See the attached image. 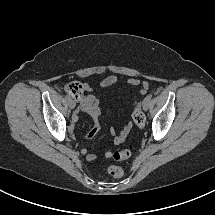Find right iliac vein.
<instances>
[{"label":"right iliac vein","instance_id":"obj_1","mask_svg":"<svg viewBox=\"0 0 215 215\" xmlns=\"http://www.w3.org/2000/svg\"><path fill=\"white\" fill-rule=\"evenodd\" d=\"M68 102H69V107L71 108V109H74L75 108V106H76V104H75V102L73 101V100H68Z\"/></svg>","mask_w":215,"mask_h":215}]
</instances>
